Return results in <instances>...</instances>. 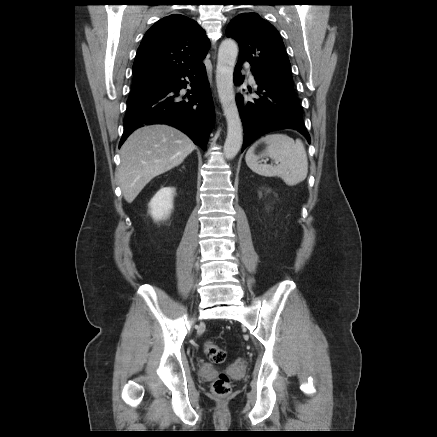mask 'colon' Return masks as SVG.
<instances>
[{"mask_svg":"<svg viewBox=\"0 0 437 437\" xmlns=\"http://www.w3.org/2000/svg\"><path fill=\"white\" fill-rule=\"evenodd\" d=\"M203 352L211 363L220 364L226 359L225 351L210 340L204 343ZM212 391L219 397L227 396L231 391L229 377L226 374L221 373L212 383Z\"/></svg>","mask_w":437,"mask_h":437,"instance_id":"1","label":"colon"}]
</instances>
